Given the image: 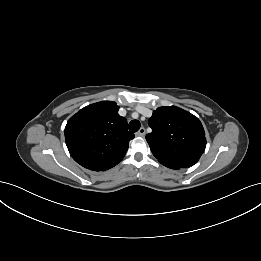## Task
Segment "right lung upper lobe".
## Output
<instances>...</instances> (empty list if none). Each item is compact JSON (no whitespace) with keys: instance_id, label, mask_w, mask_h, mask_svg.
Listing matches in <instances>:
<instances>
[{"instance_id":"obj_1","label":"right lung upper lobe","mask_w":261,"mask_h":261,"mask_svg":"<svg viewBox=\"0 0 261 261\" xmlns=\"http://www.w3.org/2000/svg\"><path fill=\"white\" fill-rule=\"evenodd\" d=\"M113 101H101L82 108L65 127V141L72 158L90 170H107L125 156L134 134L127 120L118 114Z\"/></svg>"}]
</instances>
